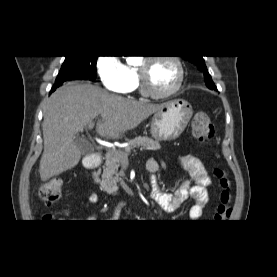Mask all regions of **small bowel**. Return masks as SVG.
Returning a JSON list of instances; mask_svg holds the SVG:
<instances>
[{"label":"small bowel","mask_w":277,"mask_h":277,"mask_svg":"<svg viewBox=\"0 0 277 277\" xmlns=\"http://www.w3.org/2000/svg\"><path fill=\"white\" fill-rule=\"evenodd\" d=\"M180 166L186 170L191 178V181H182L174 193H166L159 189L154 174L159 169V163L156 159L151 158L147 161V170L150 173L151 197L164 210L175 211L188 198L194 200V205L189 211V217L192 220H197L202 216L203 209L209 201L208 188L211 185V179L202 163V161L193 156L186 155L179 160ZM99 201L96 194H91L86 206L91 207ZM122 204L117 206L121 208ZM95 215L91 216L94 219Z\"/></svg>","instance_id":"obj_1"}]
</instances>
